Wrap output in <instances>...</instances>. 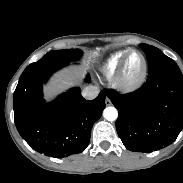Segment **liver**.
<instances>
[{"mask_svg":"<svg viewBox=\"0 0 183 183\" xmlns=\"http://www.w3.org/2000/svg\"><path fill=\"white\" fill-rule=\"evenodd\" d=\"M96 53H89L85 58L86 66L88 67L92 58L96 57ZM82 74L77 70H70L67 72H62L56 75L49 84L45 87L44 92L47 98H52L65 88L79 84L81 80Z\"/></svg>","mask_w":183,"mask_h":183,"instance_id":"liver-1","label":"liver"}]
</instances>
